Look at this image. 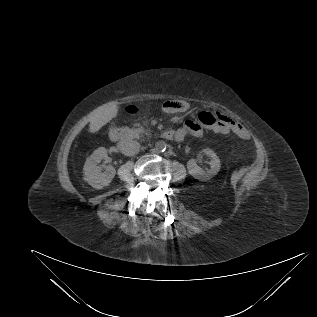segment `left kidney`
Returning <instances> with one entry per match:
<instances>
[{"mask_svg": "<svg viewBox=\"0 0 317 317\" xmlns=\"http://www.w3.org/2000/svg\"><path fill=\"white\" fill-rule=\"evenodd\" d=\"M205 155H207L211 161L210 165L211 168L209 170H204L201 167H199L196 163L195 159H191L187 162V169L190 175H192L194 178L199 180H208L212 176L216 175L218 171L220 170V159L216 155V153L211 149H204L202 151Z\"/></svg>", "mask_w": 317, "mask_h": 317, "instance_id": "5707ae66", "label": "left kidney"}]
</instances>
